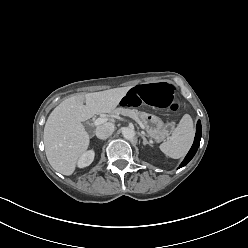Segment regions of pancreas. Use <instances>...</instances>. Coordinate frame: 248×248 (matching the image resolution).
<instances>
[{"instance_id":"1","label":"pancreas","mask_w":248,"mask_h":248,"mask_svg":"<svg viewBox=\"0 0 248 248\" xmlns=\"http://www.w3.org/2000/svg\"><path fill=\"white\" fill-rule=\"evenodd\" d=\"M112 114H114V115L121 114V115H124V116H128V117L136 120L140 124L143 123L142 120H141V115L139 114V112L137 110L117 108V109L112 111Z\"/></svg>"}]
</instances>
